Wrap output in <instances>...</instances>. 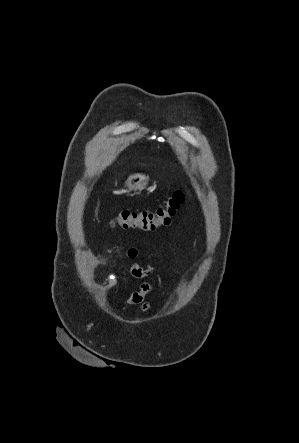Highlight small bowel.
Masks as SVG:
<instances>
[{
    "label": "small bowel",
    "mask_w": 299,
    "mask_h": 443,
    "mask_svg": "<svg viewBox=\"0 0 299 443\" xmlns=\"http://www.w3.org/2000/svg\"><path fill=\"white\" fill-rule=\"evenodd\" d=\"M174 251L177 250L175 249ZM120 256L129 258L131 260H135L138 256V250L132 247L124 251ZM128 269L130 274L137 279H144L148 277L153 271L152 267L150 266L142 267L136 262H132ZM150 291H151V285L148 282L143 281L139 289L131 293V295L124 301V304L139 305L141 312L145 313L149 311L151 308V304L145 300L146 296L150 293Z\"/></svg>",
    "instance_id": "1"
}]
</instances>
